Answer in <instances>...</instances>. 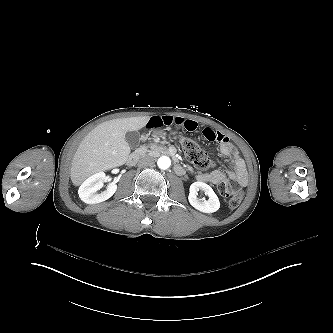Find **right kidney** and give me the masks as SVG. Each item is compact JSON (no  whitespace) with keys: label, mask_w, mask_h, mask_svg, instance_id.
Masks as SVG:
<instances>
[{"label":"right kidney","mask_w":333,"mask_h":333,"mask_svg":"<svg viewBox=\"0 0 333 333\" xmlns=\"http://www.w3.org/2000/svg\"><path fill=\"white\" fill-rule=\"evenodd\" d=\"M106 180L104 172H98L87 178L79 187L78 194L80 199L87 204H96L109 199L117 190L115 183H110L106 190L98 193Z\"/></svg>","instance_id":"1"}]
</instances>
